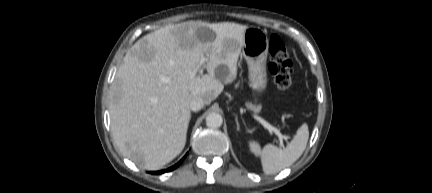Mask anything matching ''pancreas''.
<instances>
[{
  "label": "pancreas",
  "mask_w": 432,
  "mask_h": 193,
  "mask_svg": "<svg viewBox=\"0 0 432 193\" xmlns=\"http://www.w3.org/2000/svg\"><path fill=\"white\" fill-rule=\"evenodd\" d=\"M246 106H247L248 109H250V110H252L254 112H259L260 109H261L260 106L253 105L252 103H247Z\"/></svg>",
  "instance_id": "1"
}]
</instances>
